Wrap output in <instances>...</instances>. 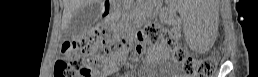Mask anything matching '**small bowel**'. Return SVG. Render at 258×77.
<instances>
[{"label": "small bowel", "mask_w": 258, "mask_h": 77, "mask_svg": "<svg viewBox=\"0 0 258 77\" xmlns=\"http://www.w3.org/2000/svg\"><path fill=\"white\" fill-rule=\"evenodd\" d=\"M152 54V59L156 60L159 56V48L154 47ZM126 56L125 52L112 53L110 56L101 57L100 66L101 71H97L96 77H104L113 73L123 62ZM151 68H146L144 73H149Z\"/></svg>", "instance_id": "1"}]
</instances>
